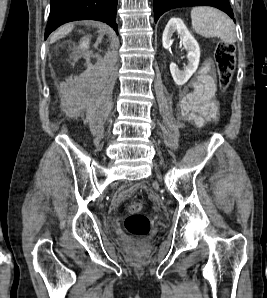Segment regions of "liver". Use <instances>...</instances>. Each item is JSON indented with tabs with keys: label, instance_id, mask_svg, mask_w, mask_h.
I'll return each instance as SVG.
<instances>
[{
	"label": "liver",
	"instance_id": "obj_1",
	"mask_svg": "<svg viewBox=\"0 0 267 298\" xmlns=\"http://www.w3.org/2000/svg\"><path fill=\"white\" fill-rule=\"evenodd\" d=\"M73 24H68L63 27H60L57 31H55L51 37V42H55L56 40L64 37L68 33H70L73 29Z\"/></svg>",
	"mask_w": 267,
	"mask_h": 298
}]
</instances>
